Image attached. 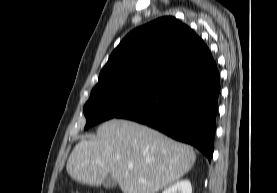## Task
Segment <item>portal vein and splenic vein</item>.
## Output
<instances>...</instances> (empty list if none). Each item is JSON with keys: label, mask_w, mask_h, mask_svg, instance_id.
I'll list each match as a JSON object with an SVG mask.
<instances>
[{"label": "portal vein and splenic vein", "mask_w": 277, "mask_h": 193, "mask_svg": "<svg viewBox=\"0 0 277 193\" xmlns=\"http://www.w3.org/2000/svg\"><path fill=\"white\" fill-rule=\"evenodd\" d=\"M128 168H129V170H132L133 169V165H129Z\"/></svg>", "instance_id": "1"}]
</instances>
